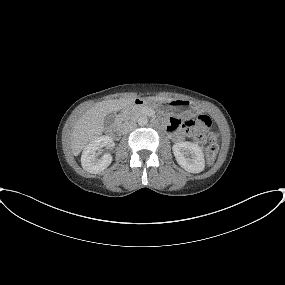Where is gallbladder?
Segmentation results:
<instances>
[{"instance_id":"gallbladder-1","label":"gallbladder","mask_w":285,"mask_h":285,"mask_svg":"<svg viewBox=\"0 0 285 285\" xmlns=\"http://www.w3.org/2000/svg\"><path fill=\"white\" fill-rule=\"evenodd\" d=\"M116 115L114 112L108 113L104 118L105 126H110L114 123Z\"/></svg>"}]
</instances>
